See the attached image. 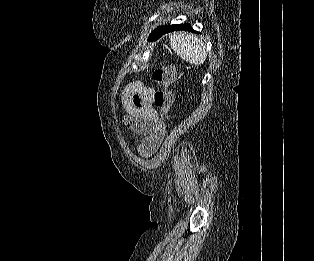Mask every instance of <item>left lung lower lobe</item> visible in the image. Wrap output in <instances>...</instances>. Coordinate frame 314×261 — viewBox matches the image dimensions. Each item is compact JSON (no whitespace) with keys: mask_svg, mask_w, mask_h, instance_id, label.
<instances>
[{"mask_svg":"<svg viewBox=\"0 0 314 261\" xmlns=\"http://www.w3.org/2000/svg\"><path fill=\"white\" fill-rule=\"evenodd\" d=\"M177 30H184V31H190V32H195L190 24H174V25H168L165 27H161L158 32L154 34L151 40H157L160 38L163 34L171 32V31H177Z\"/></svg>","mask_w":314,"mask_h":261,"instance_id":"obj_1","label":"left lung lower lobe"}]
</instances>
